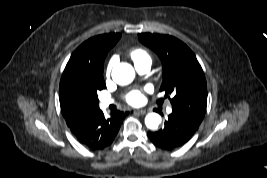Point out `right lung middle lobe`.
<instances>
[{
  "instance_id": "dd1d6c3e",
  "label": "right lung middle lobe",
  "mask_w": 267,
  "mask_h": 178,
  "mask_svg": "<svg viewBox=\"0 0 267 178\" xmlns=\"http://www.w3.org/2000/svg\"><path fill=\"white\" fill-rule=\"evenodd\" d=\"M105 87L103 77H94L89 74L62 78L59 89L61 111L75 108H98L97 93Z\"/></svg>"
}]
</instances>
